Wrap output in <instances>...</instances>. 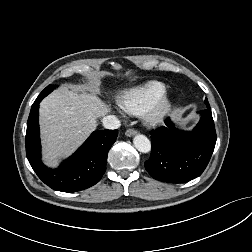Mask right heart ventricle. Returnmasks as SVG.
<instances>
[{
	"mask_svg": "<svg viewBox=\"0 0 252 252\" xmlns=\"http://www.w3.org/2000/svg\"><path fill=\"white\" fill-rule=\"evenodd\" d=\"M164 92H166L165 83L151 80L126 90L118 98L117 103L123 112L139 116Z\"/></svg>",
	"mask_w": 252,
	"mask_h": 252,
	"instance_id": "e07e8e85",
	"label": "right heart ventricle"
}]
</instances>
